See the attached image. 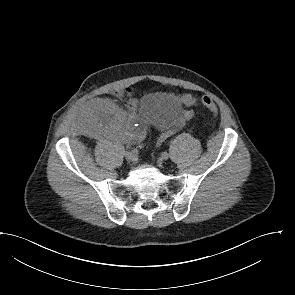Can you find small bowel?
<instances>
[{
	"label": "small bowel",
	"mask_w": 295,
	"mask_h": 295,
	"mask_svg": "<svg viewBox=\"0 0 295 295\" xmlns=\"http://www.w3.org/2000/svg\"><path fill=\"white\" fill-rule=\"evenodd\" d=\"M116 96L125 97L132 106L131 111H123L117 108L107 99H95L88 101L82 110V120L93 130L107 138L119 141H133L142 143L147 137V126L139 121L135 107L137 100L133 97L132 91L118 90ZM177 99L186 105H191L194 98L190 94H179ZM192 116L191 111H186L176 127L166 130L161 135V140L166 139L176 132L185 120Z\"/></svg>",
	"instance_id": "obj_1"
}]
</instances>
